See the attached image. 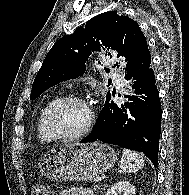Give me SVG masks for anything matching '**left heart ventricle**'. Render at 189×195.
Segmentation results:
<instances>
[{"label":"left heart ventricle","instance_id":"1","mask_svg":"<svg viewBox=\"0 0 189 195\" xmlns=\"http://www.w3.org/2000/svg\"><path fill=\"white\" fill-rule=\"evenodd\" d=\"M89 118L86 107L80 104H70L64 107L57 115L55 125L63 135H74L85 127Z\"/></svg>","mask_w":189,"mask_h":195}]
</instances>
